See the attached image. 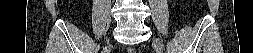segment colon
I'll use <instances>...</instances> for the list:
<instances>
[{"label": "colon", "mask_w": 253, "mask_h": 53, "mask_svg": "<svg viewBox=\"0 0 253 53\" xmlns=\"http://www.w3.org/2000/svg\"><path fill=\"white\" fill-rule=\"evenodd\" d=\"M128 52H129V53H133L134 50H133L132 48H129V49H128Z\"/></svg>", "instance_id": "colon-1"}]
</instances>
